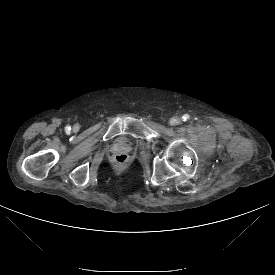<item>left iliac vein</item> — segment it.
<instances>
[{
    "label": "left iliac vein",
    "mask_w": 275,
    "mask_h": 275,
    "mask_svg": "<svg viewBox=\"0 0 275 275\" xmlns=\"http://www.w3.org/2000/svg\"><path fill=\"white\" fill-rule=\"evenodd\" d=\"M182 119L179 117H173L170 119V124L171 125H178L179 123H181Z\"/></svg>",
    "instance_id": "4c4485c4"
}]
</instances>
